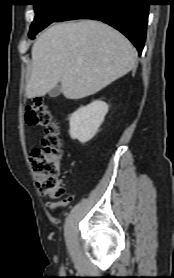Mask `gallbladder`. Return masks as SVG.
I'll list each match as a JSON object with an SVG mask.
<instances>
[{
  "mask_svg": "<svg viewBox=\"0 0 174 278\" xmlns=\"http://www.w3.org/2000/svg\"><path fill=\"white\" fill-rule=\"evenodd\" d=\"M61 93V88L59 85H57L56 87H54L50 92H49V96L52 98H55L57 96H59Z\"/></svg>",
  "mask_w": 174,
  "mask_h": 278,
  "instance_id": "obj_1",
  "label": "gallbladder"
}]
</instances>
